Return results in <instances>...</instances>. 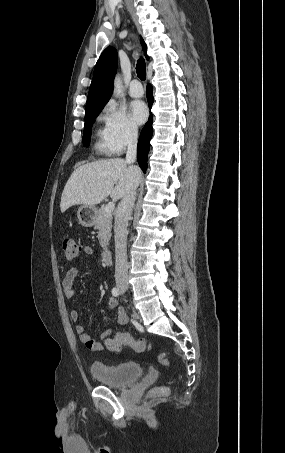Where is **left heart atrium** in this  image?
Segmentation results:
<instances>
[{
	"instance_id": "left-heart-atrium-1",
	"label": "left heart atrium",
	"mask_w": 285,
	"mask_h": 453,
	"mask_svg": "<svg viewBox=\"0 0 285 453\" xmlns=\"http://www.w3.org/2000/svg\"><path fill=\"white\" fill-rule=\"evenodd\" d=\"M130 116L136 124H142L148 117V109L144 102L136 100L130 104Z\"/></svg>"
}]
</instances>
